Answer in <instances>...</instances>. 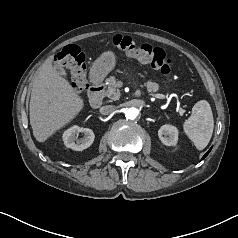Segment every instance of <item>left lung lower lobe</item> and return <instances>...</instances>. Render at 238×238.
Returning <instances> with one entry per match:
<instances>
[{
    "instance_id": "left-lung-lower-lobe-1",
    "label": "left lung lower lobe",
    "mask_w": 238,
    "mask_h": 238,
    "mask_svg": "<svg viewBox=\"0 0 238 238\" xmlns=\"http://www.w3.org/2000/svg\"><path fill=\"white\" fill-rule=\"evenodd\" d=\"M210 150H211V149H210ZM210 150L203 156L202 159H204V158L208 155V153L210 152Z\"/></svg>"
}]
</instances>
